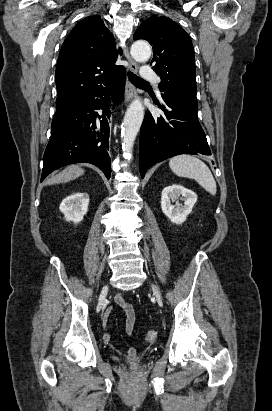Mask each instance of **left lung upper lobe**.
<instances>
[{
  "instance_id": "1",
  "label": "left lung upper lobe",
  "mask_w": 272,
  "mask_h": 411,
  "mask_svg": "<svg viewBox=\"0 0 272 411\" xmlns=\"http://www.w3.org/2000/svg\"><path fill=\"white\" fill-rule=\"evenodd\" d=\"M134 39L153 47V70L160 76V94L198 108L194 50L189 35L171 19L158 16L143 22Z\"/></svg>"
}]
</instances>
